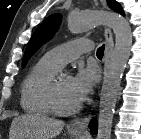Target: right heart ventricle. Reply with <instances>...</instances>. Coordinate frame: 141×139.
<instances>
[{"instance_id":"obj_1","label":"right heart ventricle","mask_w":141,"mask_h":139,"mask_svg":"<svg viewBox=\"0 0 141 139\" xmlns=\"http://www.w3.org/2000/svg\"><path fill=\"white\" fill-rule=\"evenodd\" d=\"M60 68L45 57L41 58L24 78L20 90L22 109L33 116L53 114L47 97L48 85Z\"/></svg>"}]
</instances>
